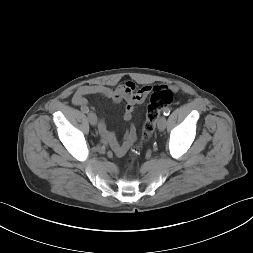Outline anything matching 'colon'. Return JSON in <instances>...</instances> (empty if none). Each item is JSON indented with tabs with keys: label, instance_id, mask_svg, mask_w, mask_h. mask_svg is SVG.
<instances>
[{
	"label": "colon",
	"instance_id": "colon-1",
	"mask_svg": "<svg viewBox=\"0 0 253 253\" xmlns=\"http://www.w3.org/2000/svg\"><path fill=\"white\" fill-rule=\"evenodd\" d=\"M174 96V90L167 86H157L154 88L147 107L146 120L142 128L140 143L131 149L128 157L127 163L129 166L133 164L139 154L142 144L151 138L161 111L173 102Z\"/></svg>",
	"mask_w": 253,
	"mask_h": 253
}]
</instances>
